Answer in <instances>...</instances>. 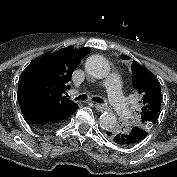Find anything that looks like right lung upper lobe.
<instances>
[{
    "instance_id": "1",
    "label": "right lung upper lobe",
    "mask_w": 177,
    "mask_h": 177,
    "mask_svg": "<svg viewBox=\"0 0 177 177\" xmlns=\"http://www.w3.org/2000/svg\"><path fill=\"white\" fill-rule=\"evenodd\" d=\"M88 48L79 50L62 48L30 63L18 83L20 107L46 109L67 114L77 104L62 94L68 89L73 71L87 54Z\"/></svg>"
}]
</instances>
